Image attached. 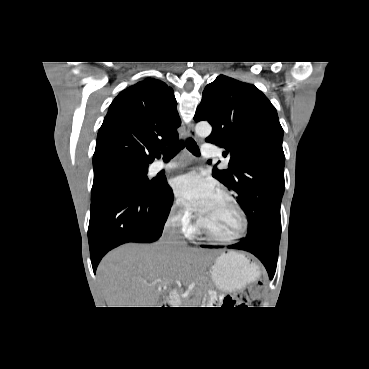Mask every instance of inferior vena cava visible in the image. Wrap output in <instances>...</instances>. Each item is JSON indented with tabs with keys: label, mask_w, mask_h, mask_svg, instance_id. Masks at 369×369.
<instances>
[{
	"label": "inferior vena cava",
	"mask_w": 369,
	"mask_h": 369,
	"mask_svg": "<svg viewBox=\"0 0 369 369\" xmlns=\"http://www.w3.org/2000/svg\"><path fill=\"white\" fill-rule=\"evenodd\" d=\"M181 226L182 223L179 217L171 216L168 218L162 235V241L168 248L175 245H186L182 240Z\"/></svg>",
	"instance_id": "obj_1"
}]
</instances>
